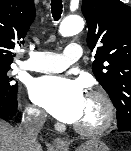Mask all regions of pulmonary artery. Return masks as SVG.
Instances as JSON below:
<instances>
[{"label":"pulmonary artery","instance_id":"obj_1","mask_svg":"<svg viewBox=\"0 0 131 151\" xmlns=\"http://www.w3.org/2000/svg\"><path fill=\"white\" fill-rule=\"evenodd\" d=\"M83 54V48L78 43H70L62 54L54 52H33L31 57L20 65L23 69L44 72L58 73L67 69L71 64L78 61Z\"/></svg>","mask_w":131,"mask_h":151}]
</instances>
